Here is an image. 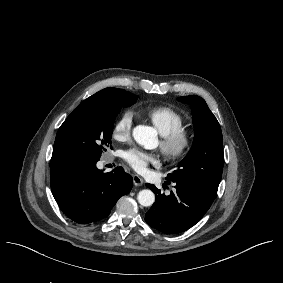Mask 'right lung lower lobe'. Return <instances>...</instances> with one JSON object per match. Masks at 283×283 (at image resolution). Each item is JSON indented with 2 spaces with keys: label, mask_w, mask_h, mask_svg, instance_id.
<instances>
[{
  "label": "right lung lower lobe",
  "mask_w": 283,
  "mask_h": 283,
  "mask_svg": "<svg viewBox=\"0 0 283 283\" xmlns=\"http://www.w3.org/2000/svg\"><path fill=\"white\" fill-rule=\"evenodd\" d=\"M99 158L50 167L51 190L63 213L81 224L107 217L118 199L130 192L132 177L122 167L103 173Z\"/></svg>",
  "instance_id": "obj_1"
}]
</instances>
